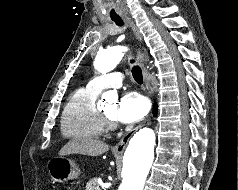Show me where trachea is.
<instances>
[{
	"mask_svg": "<svg viewBox=\"0 0 238 190\" xmlns=\"http://www.w3.org/2000/svg\"><path fill=\"white\" fill-rule=\"evenodd\" d=\"M118 26H122L123 25V22L121 19L119 18H114L112 19ZM134 60H131V63H133ZM132 75H133V78L135 79V81L138 83V84H142L143 83V76H142V70L140 69L139 66L135 65L132 67Z\"/></svg>",
	"mask_w": 238,
	"mask_h": 190,
	"instance_id": "1",
	"label": "trachea"
}]
</instances>
